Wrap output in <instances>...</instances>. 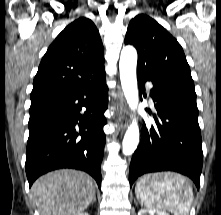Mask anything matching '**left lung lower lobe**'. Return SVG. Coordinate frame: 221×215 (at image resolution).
<instances>
[{"label":"left lung lower lobe","instance_id":"0a47b994","mask_svg":"<svg viewBox=\"0 0 221 215\" xmlns=\"http://www.w3.org/2000/svg\"><path fill=\"white\" fill-rule=\"evenodd\" d=\"M137 78L140 93L146 81L153 83L150 96L156 113L149 130L143 124L141 141L130 163V186L145 173L175 171L191 178L199 189L203 152L196 96L144 75L137 74Z\"/></svg>","mask_w":221,"mask_h":215}]
</instances>
